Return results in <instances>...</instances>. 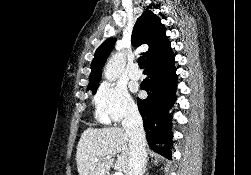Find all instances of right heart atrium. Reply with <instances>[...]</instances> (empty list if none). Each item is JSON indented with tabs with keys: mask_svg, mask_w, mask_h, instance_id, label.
<instances>
[{
	"mask_svg": "<svg viewBox=\"0 0 251 175\" xmlns=\"http://www.w3.org/2000/svg\"><path fill=\"white\" fill-rule=\"evenodd\" d=\"M92 101L95 116L103 124L119 123L136 113V105L127 89L115 82L102 81Z\"/></svg>",
	"mask_w": 251,
	"mask_h": 175,
	"instance_id": "1",
	"label": "right heart atrium"
}]
</instances>
